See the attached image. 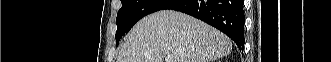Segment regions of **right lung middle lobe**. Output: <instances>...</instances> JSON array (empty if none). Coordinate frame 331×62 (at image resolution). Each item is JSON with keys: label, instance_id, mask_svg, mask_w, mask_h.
Here are the masks:
<instances>
[{"label": "right lung middle lobe", "instance_id": "1", "mask_svg": "<svg viewBox=\"0 0 331 62\" xmlns=\"http://www.w3.org/2000/svg\"><path fill=\"white\" fill-rule=\"evenodd\" d=\"M174 0H121L122 7L118 11L116 24V43L128 32L142 17L162 10Z\"/></svg>", "mask_w": 331, "mask_h": 62}]
</instances>
